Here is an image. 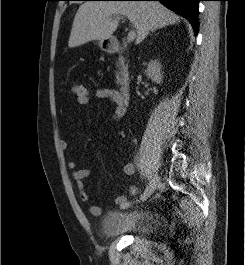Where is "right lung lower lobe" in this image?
I'll return each instance as SVG.
<instances>
[{"label":"right lung lower lobe","instance_id":"obj_1","mask_svg":"<svg viewBox=\"0 0 245 265\" xmlns=\"http://www.w3.org/2000/svg\"><path fill=\"white\" fill-rule=\"evenodd\" d=\"M105 1V0H103ZM108 1V0H107ZM115 1H160L166 7L188 19L195 31L198 33V1L201 0H115Z\"/></svg>","mask_w":245,"mask_h":265}]
</instances>
